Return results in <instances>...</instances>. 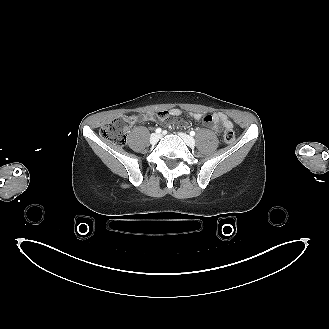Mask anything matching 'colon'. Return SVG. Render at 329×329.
Wrapping results in <instances>:
<instances>
[{
  "instance_id": "5ec220e1",
  "label": "colon",
  "mask_w": 329,
  "mask_h": 329,
  "mask_svg": "<svg viewBox=\"0 0 329 329\" xmlns=\"http://www.w3.org/2000/svg\"><path fill=\"white\" fill-rule=\"evenodd\" d=\"M132 120V117L122 116L109 121L101 128V137L104 140L110 141L116 145H124L127 139V127ZM223 138L225 142L232 143L236 138L235 132L231 129L225 130Z\"/></svg>"
}]
</instances>
